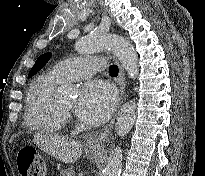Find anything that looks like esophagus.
I'll return each instance as SVG.
<instances>
[{"label": "esophagus", "mask_w": 205, "mask_h": 176, "mask_svg": "<svg viewBox=\"0 0 205 176\" xmlns=\"http://www.w3.org/2000/svg\"><path fill=\"white\" fill-rule=\"evenodd\" d=\"M119 67V76L117 79V83L119 86V92L121 97V102L124 99L125 96V87H126V79H125V72L123 67L117 62ZM117 113L114 115L111 122L100 132H98L95 136L90 138L87 142V147L89 148H96L101 147L104 142L108 139L109 135L111 134L112 128L114 126L115 120H116Z\"/></svg>", "instance_id": "34e87169"}]
</instances>
